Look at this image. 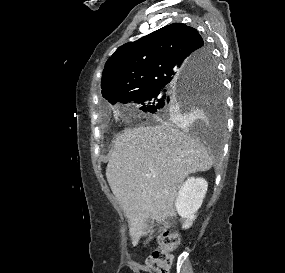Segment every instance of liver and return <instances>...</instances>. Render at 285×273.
I'll use <instances>...</instances> for the list:
<instances>
[{
  "label": "liver",
  "mask_w": 285,
  "mask_h": 273,
  "mask_svg": "<svg viewBox=\"0 0 285 273\" xmlns=\"http://www.w3.org/2000/svg\"><path fill=\"white\" fill-rule=\"evenodd\" d=\"M213 163L199 140L166 122L127 129L116 137L106 177L129 220L134 246L145 234L148 218L160 224L175 215L174 202L185 178ZM148 232L146 243L154 233Z\"/></svg>",
  "instance_id": "liver-1"
}]
</instances>
